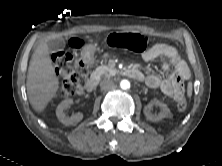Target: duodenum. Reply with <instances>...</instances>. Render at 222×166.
Returning <instances> with one entry per match:
<instances>
[{"label":"duodenum","instance_id":"410a0bca","mask_svg":"<svg viewBox=\"0 0 222 166\" xmlns=\"http://www.w3.org/2000/svg\"><path fill=\"white\" fill-rule=\"evenodd\" d=\"M85 62L90 64V57H85ZM125 74L135 80H142L143 75L140 71L136 69H127L125 70ZM99 82V76L97 74L92 75L86 82V89L89 91H93L96 89Z\"/></svg>","mask_w":222,"mask_h":166}]
</instances>
